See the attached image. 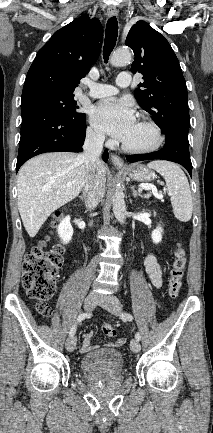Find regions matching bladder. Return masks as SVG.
<instances>
[{"mask_svg":"<svg viewBox=\"0 0 213 433\" xmlns=\"http://www.w3.org/2000/svg\"><path fill=\"white\" fill-rule=\"evenodd\" d=\"M124 361L122 353L117 349L103 348L91 351L82 356L80 368L88 375H103L120 372Z\"/></svg>","mask_w":213,"mask_h":433,"instance_id":"31cf9c89","label":"bladder"}]
</instances>
